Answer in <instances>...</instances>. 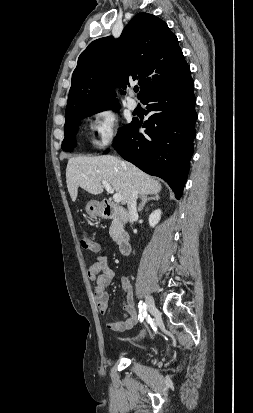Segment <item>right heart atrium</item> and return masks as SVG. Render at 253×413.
I'll return each mask as SVG.
<instances>
[{"label": "right heart atrium", "instance_id": "1", "mask_svg": "<svg viewBox=\"0 0 253 413\" xmlns=\"http://www.w3.org/2000/svg\"><path fill=\"white\" fill-rule=\"evenodd\" d=\"M117 123V116L109 107L93 112L89 124L93 135L92 145L97 149L108 147L116 137Z\"/></svg>", "mask_w": 253, "mask_h": 413}]
</instances>
